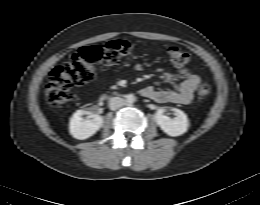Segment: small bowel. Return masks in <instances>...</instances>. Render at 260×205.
Segmentation results:
<instances>
[{"label": "small bowel", "instance_id": "1", "mask_svg": "<svg viewBox=\"0 0 260 205\" xmlns=\"http://www.w3.org/2000/svg\"><path fill=\"white\" fill-rule=\"evenodd\" d=\"M137 70H142V65L137 64ZM183 80L176 90L155 89L152 86L144 87L140 90L141 96L152 99L162 104L188 105L193 100V93L196 90L200 77L189 67H181L179 70Z\"/></svg>", "mask_w": 260, "mask_h": 205}]
</instances>
